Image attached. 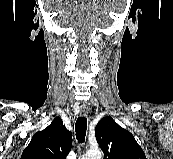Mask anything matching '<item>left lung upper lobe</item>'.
<instances>
[{
    "mask_svg": "<svg viewBox=\"0 0 173 159\" xmlns=\"http://www.w3.org/2000/svg\"><path fill=\"white\" fill-rule=\"evenodd\" d=\"M95 136L104 159H146L134 136L109 116L99 121Z\"/></svg>",
    "mask_w": 173,
    "mask_h": 159,
    "instance_id": "1",
    "label": "left lung upper lobe"
}]
</instances>
